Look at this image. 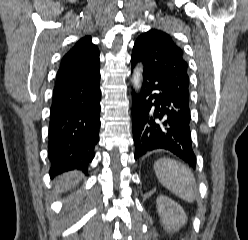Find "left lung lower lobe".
<instances>
[{
    "mask_svg": "<svg viewBox=\"0 0 248 240\" xmlns=\"http://www.w3.org/2000/svg\"><path fill=\"white\" fill-rule=\"evenodd\" d=\"M131 64L134 67L135 62L131 61ZM132 95L135 159L149 151L165 149L195 167L189 99L146 71L140 94L133 91Z\"/></svg>",
    "mask_w": 248,
    "mask_h": 240,
    "instance_id": "1",
    "label": "left lung lower lobe"
}]
</instances>
